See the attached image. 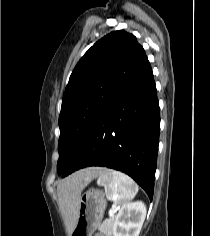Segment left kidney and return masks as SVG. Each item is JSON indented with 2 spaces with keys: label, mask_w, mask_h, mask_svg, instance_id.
Returning <instances> with one entry per match:
<instances>
[{
  "label": "left kidney",
  "mask_w": 210,
  "mask_h": 236,
  "mask_svg": "<svg viewBox=\"0 0 210 236\" xmlns=\"http://www.w3.org/2000/svg\"><path fill=\"white\" fill-rule=\"evenodd\" d=\"M146 217V207L142 202L123 205L115 217L113 236H138Z\"/></svg>",
  "instance_id": "5707ae66"
}]
</instances>
